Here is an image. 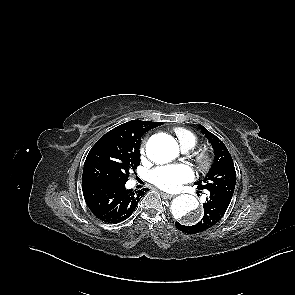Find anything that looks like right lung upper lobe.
<instances>
[{"label": "right lung upper lobe", "mask_w": 295, "mask_h": 295, "mask_svg": "<svg viewBox=\"0 0 295 295\" xmlns=\"http://www.w3.org/2000/svg\"><path fill=\"white\" fill-rule=\"evenodd\" d=\"M161 124L162 123H159V122L132 120V121L126 122L122 125L115 127L114 129H112L108 133H126V132L132 131L134 129H137L139 127L143 128V129L150 130V129L160 126Z\"/></svg>", "instance_id": "1"}]
</instances>
